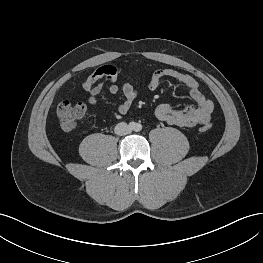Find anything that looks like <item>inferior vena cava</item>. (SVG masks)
Wrapping results in <instances>:
<instances>
[{
    "mask_svg": "<svg viewBox=\"0 0 263 263\" xmlns=\"http://www.w3.org/2000/svg\"><path fill=\"white\" fill-rule=\"evenodd\" d=\"M115 134L117 135H126L129 134L131 132L130 127L127 125V123L125 122H120L115 126Z\"/></svg>",
    "mask_w": 263,
    "mask_h": 263,
    "instance_id": "602c4592",
    "label": "inferior vena cava"
}]
</instances>
